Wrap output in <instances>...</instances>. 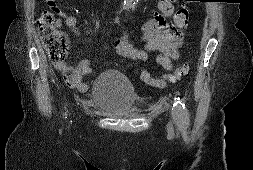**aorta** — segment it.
I'll list each match as a JSON object with an SVG mask.
<instances>
[{
    "mask_svg": "<svg viewBox=\"0 0 253 170\" xmlns=\"http://www.w3.org/2000/svg\"><path fill=\"white\" fill-rule=\"evenodd\" d=\"M137 3H138V0H124L123 7L125 9H131V8H134Z\"/></svg>",
    "mask_w": 253,
    "mask_h": 170,
    "instance_id": "1",
    "label": "aorta"
}]
</instances>
